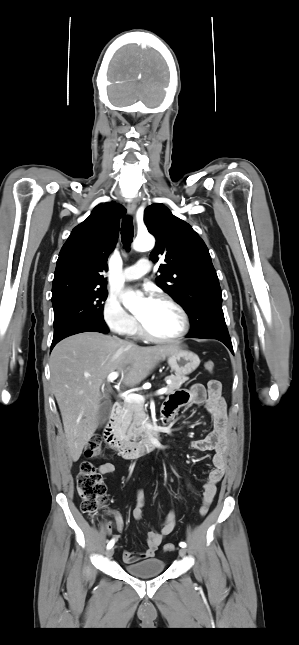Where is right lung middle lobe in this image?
Returning <instances> with one entry per match:
<instances>
[{"label":"right lung middle lobe","instance_id":"1","mask_svg":"<svg viewBox=\"0 0 299 645\" xmlns=\"http://www.w3.org/2000/svg\"><path fill=\"white\" fill-rule=\"evenodd\" d=\"M106 289L67 290L52 297L54 308V337L81 324L106 326L103 301Z\"/></svg>","mask_w":299,"mask_h":645}]
</instances>
